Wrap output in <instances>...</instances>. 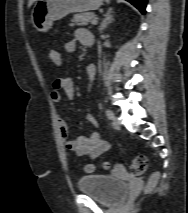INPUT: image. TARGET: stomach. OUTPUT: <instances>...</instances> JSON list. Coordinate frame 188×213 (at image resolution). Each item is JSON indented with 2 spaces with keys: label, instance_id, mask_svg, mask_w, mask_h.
I'll use <instances>...</instances> for the list:
<instances>
[{
  "label": "stomach",
  "instance_id": "1",
  "mask_svg": "<svg viewBox=\"0 0 188 213\" xmlns=\"http://www.w3.org/2000/svg\"><path fill=\"white\" fill-rule=\"evenodd\" d=\"M103 0H37L31 14L33 26L39 32L48 31L53 22L70 13L96 10Z\"/></svg>",
  "mask_w": 188,
  "mask_h": 213
}]
</instances>
